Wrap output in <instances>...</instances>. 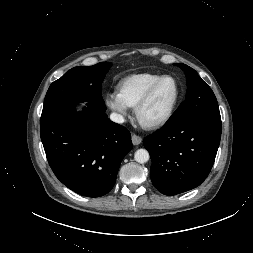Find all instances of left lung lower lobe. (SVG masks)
<instances>
[{
    "instance_id": "1",
    "label": "left lung lower lobe",
    "mask_w": 253,
    "mask_h": 253,
    "mask_svg": "<svg viewBox=\"0 0 253 253\" xmlns=\"http://www.w3.org/2000/svg\"><path fill=\"white\" fill-rule=\"evenodd\" d=\"M221 138V118L196 117L165 125L146 137L153 185L165 195L199 186L215 161Z\"/></svg>"
}]
</instances>
